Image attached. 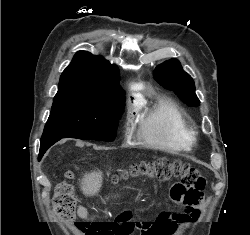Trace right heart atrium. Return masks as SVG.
<instances>
[{"instance_id": "right-heart-atrium-1", "label": "right heart atrium", "mask_w": 250, "mask_h": 235, "mask_svg": "<svg viewBox=\"0 0 250 235\" xmlns=\"http://www.w3.org/2000/svg\"><path fill=\"white\" fill-rule=\"evenodd\" d=\"M125 133H126L127 136L130 135V133H131V128H130L129 125L126 126V128H125Z\"/></svg>"}]
</instances>
